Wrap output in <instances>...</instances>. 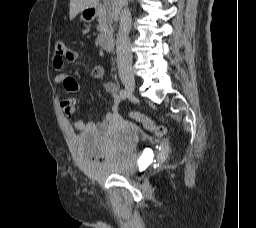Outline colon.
Instances as JSON below:
<instances>
[{"mask_svg": "<svg viewBox=\"0 0 256 228\" xmlns=\"http://www.w3.org/2000/svg\"><path fill=\"white\" fill-rule=\"evenodd\" d=\"M68 51L69 47L67 46L65 41L61 39L56 40L54 54L56 58L62 61L66 58ZM129 115L133 120L140 123L146 130L153 132L156 135L163 136L167 133V128L165 126L155 123L153 120L144 116L142 113L138 111H131Z\"/></svg>", "mask_w": 256, "mask_h": 228, "instance_id": "obj_1", "label": "colon"}]
</instances>
